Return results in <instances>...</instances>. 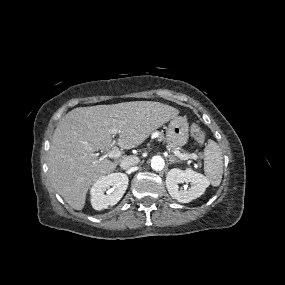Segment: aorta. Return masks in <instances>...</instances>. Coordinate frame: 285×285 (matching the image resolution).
I'll return each mask as SVG.
<instances>
[{"mask_svg": "<svg viewBox=\"0 0 285 285\" xmlns=\"http://www.w3.org/2000/svg\"><path fill=\"white\" fill-rule=\"evenodd\" d=\"M164 166H165V161L161 156L155 155L152 157L151 167L153 170L161 171L164 168Z\"/></svg>", "mask_w": 285, "mask_h": 285, "instance_id": "aorta-1", "label": "aorta"}]
</instances>
